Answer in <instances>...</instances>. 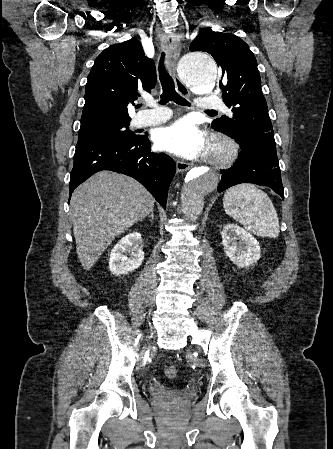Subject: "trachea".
Listing matches in <instances>:
<instances>
[{
  "label": "trachea",
  "mask_w": 333,
  "mask_h": 449,
  "mask_svg": "<svg viewBox=\"0 0 333 449\" xmlns=\"http://www.w3.org/2000/svg\"><path fill=\"white\" fill-rule=\"evenodd\" d=\"M165 54L161 56V62L159 65V78L162 86V94L160 104L164 105L169 101H174L181 106H190V103L181 97L175 90V84L172 77L169 75L164 65ZM207 112H215L214 110H207Z\"/></svg>",
  "instance_id": "trachea-1"
}]
</instances>
